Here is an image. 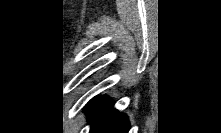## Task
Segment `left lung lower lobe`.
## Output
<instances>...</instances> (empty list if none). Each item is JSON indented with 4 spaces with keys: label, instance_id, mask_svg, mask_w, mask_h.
<instances>
[{
    "label": "left lung lower lobe",
    "instance_id": "left-lung-lower-lobe-1",
    "mask_svg": "<svg viewBox=\"0 0 221 133\" xmlns=\"http://www.w3.org/2000/svg\"><path fill=\"white\" fill-rule=\"evenodd\" d=\"M90 133H128L129 121L124 114L113 108V102L101 98L93 99L86 107Z\"/></svg>",
    "mask_w": 221,
    "mask_h": 133
}]
</instances>
